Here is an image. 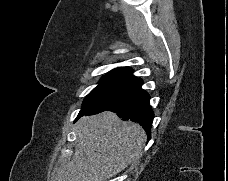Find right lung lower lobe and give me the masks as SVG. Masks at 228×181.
Listing matches in <instances>:
<instances>
[{"mask_svg":"<svg viewBox=\"0 0 228 181\" xmlns=\"http://www.w3.org/2000/svg\"><path fill=\"white\" fill-rule=\"evenodd\" d=\"M141 86L142 80L136 78L115 98L101 106L80 112L77 119L84 115L112 111L123 120L138 122L145 129L149 140L154 113L149 104L150 96Z\"/></svg>","mask_w":228,"mask_h":181,"instance_id":"98d812e1","label":"right lung lower lobe"}]
</instances>
